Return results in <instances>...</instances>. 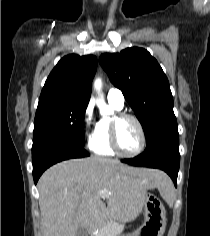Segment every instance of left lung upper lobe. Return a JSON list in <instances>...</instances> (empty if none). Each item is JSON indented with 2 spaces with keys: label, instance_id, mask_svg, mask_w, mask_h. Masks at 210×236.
<instances>
[{
  "label": "left lung upper lobe",
  "instance_id": "obj_1",
  "mask_svg": "<svg viewBox=\"0 0 210 236\" xmlns=\"http://www.w3.org/2000/svg\"><path fill=\"white\" fill-rule=\"evenodd\" d=\"M100 63L134 110L147 143L159 133L177 128L168 79L147 50L132 47L104 53Z\"/></svg>",
  "mask_w": 210,
  "mask_h": 236
}]
</instances>
